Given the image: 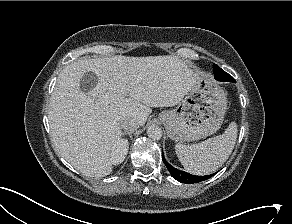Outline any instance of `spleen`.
I'll list each match as a JSON object with an SVG mask.
<instances>
[{"label":"spleen","instance_id":"3e777b00","mask_svg":"<svg viewBox=\"0 0 292 224\" xmlns=\"http://www.w3.org/2000/svg\"><path fill=\"white\" fill-rule=\"evenodd\" d=\"M237 124L231 122L222 135L198 144L178 143L175 151L185 170L194 175H207L216 171L229 158L237 139Z\"/></svg>","mask_w":292,"mask_h":224}]
</instances>
